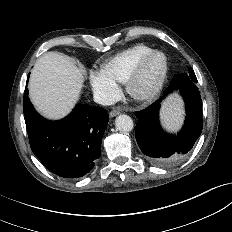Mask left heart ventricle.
<instances>
[{"instance_id": "b2bd125f", "label": "left heart ventricle", "mask_w": 232, "mask_h": 232, "mask_svg": "<svg viewBox=\"0 0 232 232\" xmlns=\"http://www.w3.org/2000/svg\"><path fill=\"white\" fill-rule=\"evenodd\" d=\"M162 65V59L155 57L147 65L139 82V88L143 89L148 87L157 77Z\"/></svg>"}]
</instances>
